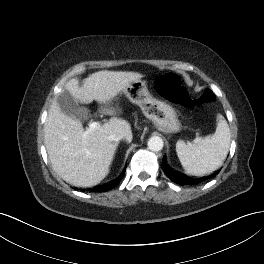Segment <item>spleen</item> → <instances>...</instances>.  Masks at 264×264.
Returning a JSON list of instances; mask_svg holds the SVG:
<instances>
[{
  "label": "spleen",
  "instance_id": "obj_1",
  "mask_svg": "<svg viewBox=\"0 0 264 264\" xmlns=\"http://www.w3.org/2000/svg\"><path fill=\"white\" fill-rule=\"evenodd\" d=\"M218 123L213 135L186 144L183 140L176 143L178 158L186 173L202 176L217 170L226 159L230 147V128L225 118L217 115Z\"/></svg>",
  "mask_w": 264,
  "mask_h": 264
}]
</instances>
